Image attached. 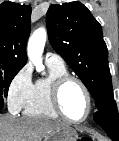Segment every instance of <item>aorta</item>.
Masks as SVG:
<instances>
[{"mask_svg":"<svg viewBox=\"0 0 119 141\" xmlns=\"http://www.w3.org/2000/svg\"><path fill=\"white\" fill-rule=\"evenodd\" d=\"M46 38L47 31L45 28L41 27L33 32L27 45L28 57L30 61L36 66V70L38 72L44 70V66L42 64V54L44 51Z\"/></svg>","mask_w":119,"mask_h":141,"instance_id":"aorta-1","label":"aorta"}]
</instances>
